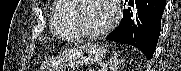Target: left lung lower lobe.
Here are the masks:
<instances>
[{
  "mask_svg": "<svg viewBox=\"0 0 181 71\" xmlns=\"http://www.w3.org/2000/svg\"><path fill=\"white\" fill-rule=\"evenodd\" d=\"M121 24L107 39L135 46L147 59L153 57L161 30L166 0H125Z\"/></svg>",
  "mask_w": 181,
  "mask_h": 71,
  "instance_id": "obj_1",
  "label": "left lung lower lobe"
}]
</instances>
